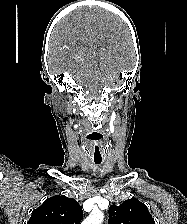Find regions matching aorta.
<instances>
[{"mask_svg": "<svg viewBox=\"0 0 187 224\" xmlns=\"http://www.w3.org/2000/svg\"><path fill=\"white\" fill-rule=\"evenodd\" d=\"M103 219V212L99 210H94L89 214V216L83 221L82 224H102Z\"/></svg>", "mask_w": 187, "mask_h": 224, "instance_id": "aorta-1", "label": "aorta"}]
</instances>
